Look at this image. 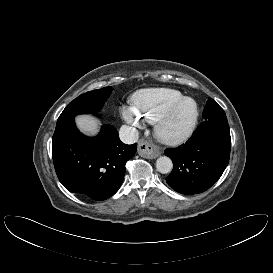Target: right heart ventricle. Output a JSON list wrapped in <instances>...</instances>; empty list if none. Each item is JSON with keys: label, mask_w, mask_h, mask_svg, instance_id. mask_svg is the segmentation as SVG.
I'll list each match as a JSON object with an SVG mask.
<instances>
[{"label": "right heart ventricle", "mask_w": 273, "mask_h": 273, "mask_svg": "<svg viewBox=\"0 0 273 273\" xmlns=\"http://www.w3.org/2000/svg\"><path fill=\"white\" fill-rule=\"evenodd\" d=\"M184 95L170 88H148L135 92L131 97L132 106L144 122L155 123L159 116Z\"/></svg>", "instance_id": "obj_1"}]
</instances>
